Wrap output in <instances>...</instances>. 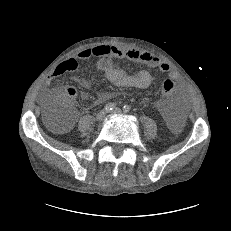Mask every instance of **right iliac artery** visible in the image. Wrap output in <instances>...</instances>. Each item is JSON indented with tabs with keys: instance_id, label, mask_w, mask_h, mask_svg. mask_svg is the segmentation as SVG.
Instances as JSON below:
<instances>
[{
	"instance_id": "right-iliac-artery-1",
	"label": "right iliac artery",
	"mask_w": 231,
	"mask_h": 231,
	"mask_svg": "<svg viewBox=\"0 0 231 231\" xmlns=\"http://www.w3.org/2000/svg\"><path fill=\"white\" fill-rule=\"evenodd\" d=\"M115 106H116L115 103L110 102V103L106 104V106L104 107V109L106 111H111V110H113L115 108Z\"/></svg>"
}]
</instances>
